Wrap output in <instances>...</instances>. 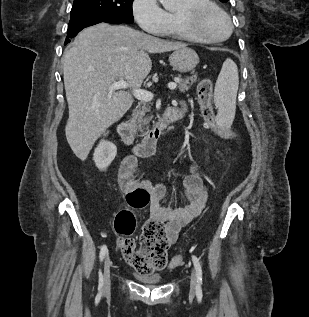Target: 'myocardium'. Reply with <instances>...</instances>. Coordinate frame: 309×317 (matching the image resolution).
<instances>
[{"label":"myocardium","mask_w":309,"mask_h":317,"mask_svg":"<svg viewBox=\"0 0 309 317\" xmlns=\"http://www.w3.org/2000/svg\"><path fill=\"white\" fill-rule=\"evenodd\" d=\"M207 13L220 15L227 26V32L223 36H213L201 32L197 28V22ZM180 29L191 39L204 43H217L226 40L233 31L232 21L229 15L217 4L211 1L182 5L176 14Z\"/></svg>","instance_id":"f54148a6"}]
</instances>
